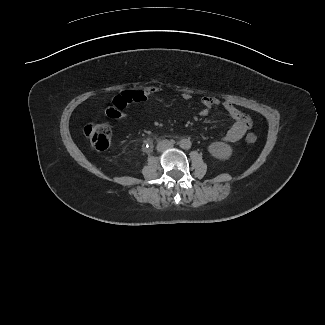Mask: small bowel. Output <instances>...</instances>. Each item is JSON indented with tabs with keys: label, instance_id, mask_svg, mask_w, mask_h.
Here are the masks:
<instances>
[{
	"label": "small bowel",
	"instance_id": "c3829d8e",
	"mask_svg": "<svg viewBox=\"0 0 325 325\" xmlns=\"http://www.w3.org/2000/svg\"><path fill=\"white\" fill-rule=\"evenodd\" d=\"M158 92H160V89L155 86H147L131 91H126L114 98L113 106L107 107L105 109V114L111 119L127 118L128 115L122 111L127 107V105H130L132 102H145L151 95ZM181 98L184 102H189L191 100V95L188 93H183L181 95ZM201 102L203 105L201 114L203 116H207L214 107H218L220 105H222L224 110L229 114L232 123L222 138L224 142L234 143L239 141L250 128V118L238 108H236L233 104L229 102L221 103L219 99L210 96L203 97Z\"/></svg>",
	"mask_w": 325,
	"mask_h": 325
}]
</instances>
